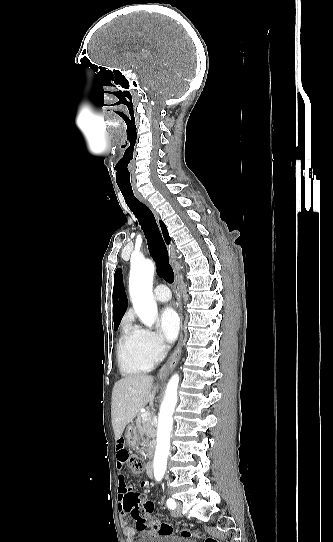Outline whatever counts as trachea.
<instances>
[{"label": "trachea", "mask_w": 333, "mask_h": 542, "mask_svg": "<svg viewBox=\"0 0 333 542\" xmlns=\"http://www.w3.org/2000/svg\"><path fill=\"white\" fill-rule=\"evenodd\" d=\"M129 209L141 225L148 242V247L156 262L157 272L170 284L174 281V273L169 264L168 251L160 234L158 225L150 208L140 202L132 189H120Z\"/></svg>", "instance_id": "trachea-1"}]
</instances>
